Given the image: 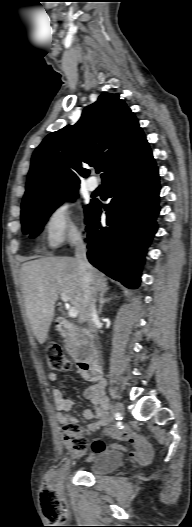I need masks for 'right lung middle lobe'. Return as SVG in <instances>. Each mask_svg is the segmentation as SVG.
<instances>
[{
    "label": "right lung middle lobe",
    "mask_w": 192,
    "mask_h": 527,
    "mask_svg": "<svg viewBox=\"0 0 192 527\" xmlns=\"http://www.w3.org/2000/svg\"><path fill=\"white\" fill-rule=\"evenodd\" d=\"M77 192L78 188L67 191L50 200L23 206L21 210L23 232L29 233L31 238L36 237L42 230L49 215L62 203V201L75 199L77 197ZM90 204L84 206L85 214L88 211Z\"/></svg>",
    "instance_id": "dd1d6c3e"
}]
</instances>
